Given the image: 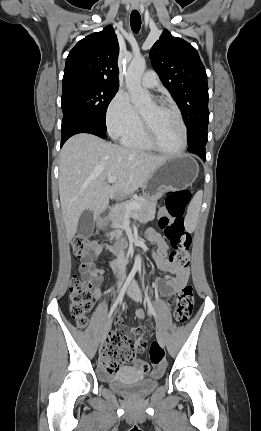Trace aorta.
<instances>
[{"instance_id":"obj_1","label":"aorta","mask_w":261,"mask_h":431,"mask_svg":"<svg viewBox=\"0 0 261 431\" xmlns=\"http://www.w3.org/2000/svg\"><path fill=\"white\" fill-rule=\"evenodd\" d=\"M146 69V61L144 58H134L126 72V87L130 93L131 102L136 108L147 106L151 103L150 94L141 86V78ZM135 264H141V257H135Z\"/></svg>"}]
</instances>
